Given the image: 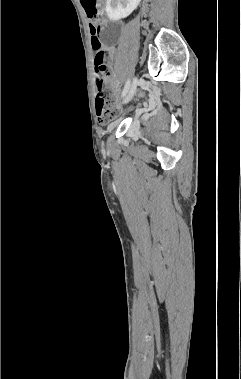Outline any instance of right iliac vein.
Listing matches in <instances>:
<instances>
[{
    "instance_id": "right-iliac-vein-1",
    "label": "right iliac vein",
    "mask_w": 241,
    "mask_h": 379,
    "mask_svg": "<svg viewBox=\"0 0 241 379\" xmlns=\"http://www.w3.org/2000/svg\"><path fill=\"white\" fill-rule=\"evenodd\" d=\"M137 83H138L137 79H134V81H133L130 89L128 90V92L125 94V96L123 98L122 103L124 105L127 104V103H129L132 100V98H133V96H134V94L136 92Z\"/></svg>"
}]
</instances>
